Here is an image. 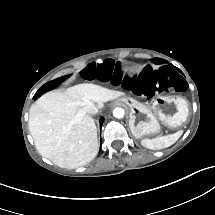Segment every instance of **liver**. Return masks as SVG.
Wrapping results in <instances>:
<instances>
[{"instance_id":"obj_1","label":"liver","mask_w":215,"mask_h":215,"mask_svg":"<svg viewBox=\"0 0 215 215\" xmlns=\"http://www.w3.org/2000/svg\"><path fill=\"white\" fill-rule=\"evenodd\" d=\"M124 93L92 83L48 92L29 111L28 126L38 152L62 168L75 169L91 162L99 150L94 119L83 108L104 103Z\"/></svg>"}]
</instances>
